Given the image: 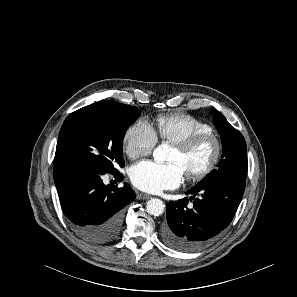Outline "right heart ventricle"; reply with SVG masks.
Segmentation results:
<instances>
[{
  "instance_id": "obj_1",
  "label": "right heart ventricle",
  "mask_w": 297,
  "mask_h": 297,
  "mask_svg": "<svg viewBox=\"0 0 297 297\" xmlns=\"http://www.w3.org/2000/svg\"><path fill=\"white\" fill-rule=\"evenodd\" d=\"M212 130V126L207 122L184 113L159 115L155 119L154 127L157 139L171 144Z\"/></svg>"
}]
</instances>
